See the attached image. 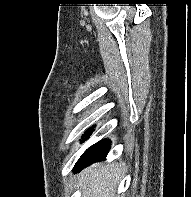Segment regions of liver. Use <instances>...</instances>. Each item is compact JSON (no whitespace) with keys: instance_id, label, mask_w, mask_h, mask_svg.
<instances>
[{"instance_id":"obj_1","label":"liver","mask_w":191,"mask_h":197,"mask_svg":"<svg viewBox=\"0 0 191 197\" xmlns=\"http://www.w3.org/2000/svg\"><path fill=\"white\" fill-rule=\"evenodd\" d=\"M122 175L121 164L90 166L78 178V187H82V197H113Z\"/></svg>"}]
</instances>
